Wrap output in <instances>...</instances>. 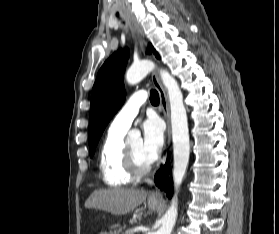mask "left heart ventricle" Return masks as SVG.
Here are the masks:
<instances>
[{
	"label": "left heart ventricle",
	"mask_w": 279,
	"mask_h": 234,
	"mask_svg": "<svg viewBox=\"0 0 279 234\" xmlns=\"http://www.w3.org/2000/svg\"><path fill=\"white\" fill-rule=\"evenodd\" d=\"M128 145L133 150L140 164L145 165L151 161L143 149V143L141 139H135L132 142H130Z\"/></svg>",
	"instance_id": "b2bd125f"
}]
</instances>
